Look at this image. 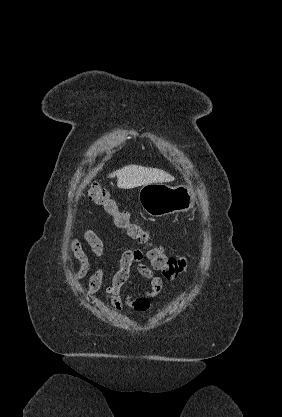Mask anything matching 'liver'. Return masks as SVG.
<instances>
[{"label": "liver", "instance_id": "obj_1", "mask_svg": "<svg viewBox=\"0 0 282 417\" xmlns=\"http://www.w3.org/2000/svg\"><path fill=\"white\" fill-rule=\"evenodd\" d=\"M111 176H117V186L119 188H134V186H142V184H150V182H170L174 180L169 172L161 170V168H148V166H138V164H128L115 172H110Z\"/></svg>", "mask_w": 282, "mask_h": 417}]
</instances>
